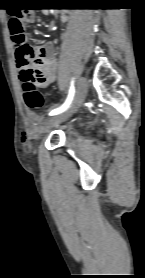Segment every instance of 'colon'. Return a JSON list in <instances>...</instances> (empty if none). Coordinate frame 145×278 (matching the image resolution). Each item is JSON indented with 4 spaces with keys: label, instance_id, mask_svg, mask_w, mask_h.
<instances>
[{
    "label": "colon",
    "instance_id": "1",
    "mask_svg": "<svg viewBox=\"0 0 145 278\" xmlns=\"http://www.w3.org/2000/svg\"><path fill=\"white\" fill-rule=\"evenodd\" d=\"M31 19L28 10L15 9L9 22V32L16 44L19 45L17 54L31 55L32 49L27 44L26 26ZM23 79V97L26 105L30 109H38L43 105L44 98L38 86L43 83L44 73L40 67L35 64L22 77ZM26 150L28 148L26 147Z\"/></svg>",
    "mask_w": 145,
    "mask_h": 278
}]
</instances>
